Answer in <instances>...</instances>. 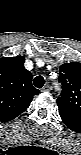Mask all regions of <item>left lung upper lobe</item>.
Here are the masks:
<instances>
[{
  "label": "left lung upper lobe",
  "instance_id": "obj_1",
  "mask_svg": "<svg viewBox=\"0 0 81 155\" xmlns=\"http://www.w3.org/2000/svg\"><path fill=\"white\" fill-rule=\"evenodd\" d=\"M58 81L62 84V93L57 99L59 114L81 121V64L61 65Z\"/></svg>",
  "mask_w": 81,
  "mask_h": 155
}]
</instances>
